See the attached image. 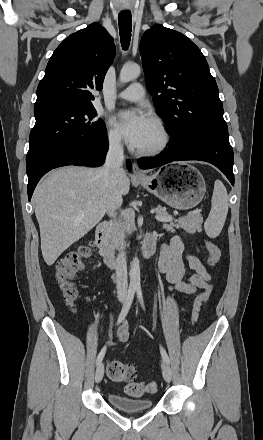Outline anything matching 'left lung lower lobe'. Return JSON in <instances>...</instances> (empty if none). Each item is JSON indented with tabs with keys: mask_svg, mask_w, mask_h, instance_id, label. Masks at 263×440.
Listing matches in <instances>:
<instances>
[{
	"mask_svg": "<svg viewBox=\"0 0 263 440\" xmlns=\"http://www.w3.org/2000/svg\"><path fill=\"white\" fill-rule=\"evenodd\" d=\"M200 160L209 162L219 168L234 185L233 150L229 143L228 132L208 136L190 151H182L174 142L155 157L141 158L138 165L141 169H151L172 161Z\"/></svg>",
	"mask_w": 263,
	"mask_h": 440,
	"instance_id": "1",
	"label": "left lung lower lobe"
}]
</instances>
